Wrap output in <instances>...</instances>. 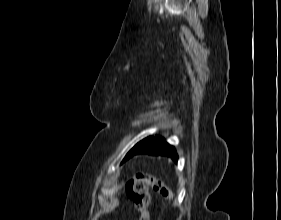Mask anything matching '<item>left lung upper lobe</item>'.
<instances>
[{"label":"left lung upper lobe","instance_id":"left-lung-upper-lobe-1","mask_svg":"<svg viewBox=\"0 0 281 220\" xmlns=\"http://www.w3.org/2000/svg\"><path fill=\"white\" fill-rule=\"evenodd\" d=\"M152 137H148L142 141H140L139 143H137L128 153L127 155L125 156V158L123 159V162L126 161L130 156L131 154L139 147H141L142 145H144L146 142H148Z\"/></svg>","mask_w":281,"mask_h":220}]
</instances>
